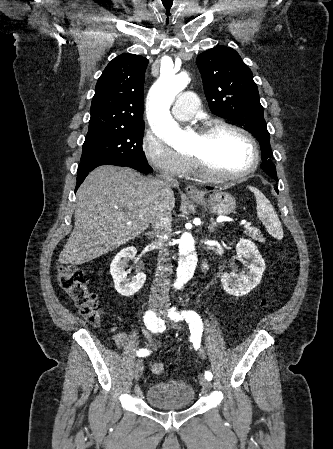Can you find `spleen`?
<instances>
[{"label":"spleen","instance_id":"obj_1","mask_svg":"<svg viewBox=\"0 0 333 449\" xmlns=\"http://www.w3.org/2000/svg\"><path fill=\"white\" fill-rule=\"evenodd\" d=\"M249 189L254 193L256 198L258 218L263 222L270 235L276 239H282L283 229L274 207L259 189L255 187H249Z\"/></svg>","mask_w":333,"mask_h":449}]
</instances>
